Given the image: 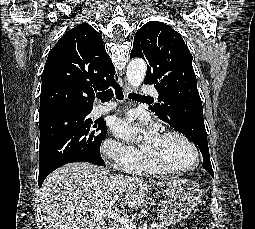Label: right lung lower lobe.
<instances>
[{"mask_svg": "<svg viewBox=\"0 0 255 229\" xmlns=\"http://www.w3.org/2000/svg\"><path fill=\"white\" fill-rule=\"evenodd\" d=\"M116 96L118 99H122L123 98V93H122V90L117 87L116 88ZM94 164V163H93ZM96 165H102V166H105V163L104 161L102 160L101 162H95ZM49 173H39V177H38V184H39V187H41L43 181L45 180V178L47 177Z\"/></svg>", "mask_w": 255, "mask_h": 229, "instance_id": "98d812e1", "label": "right lung lower lobe"}]
</instances>
